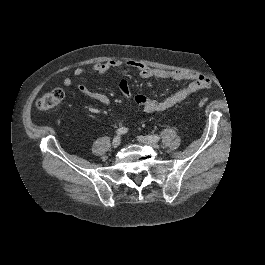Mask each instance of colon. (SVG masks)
I'll use <instances>...</instances> for the list:
<instances>
[{"label": "colon", "instance_id": "obj_1", "mask_svg": "<svg viewBox=\"0 0 265 265\" xmlns=\"http://www.w3.org/2000/svg\"><path fill=\"white\" fill-rule=\"evenodd\" d=\"M65 94L62 89H54L43 96H41L37 101L38 109L42 111L54 110L61 106L64 100ZM207 102L206 98L200 99L198 102L199 107H203Z\"/></svg>", "mask_w": 265, "mask_h": 265}]
</instances>
